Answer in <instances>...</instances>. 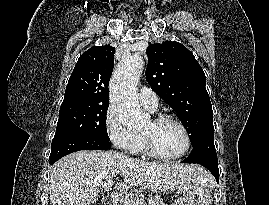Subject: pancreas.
Here are the masks:
<instances>
[{"mask_svg": "<svg viewBox=\"0 0 269 205\" xmlns=\"http://www.w3.org/2000/svg\"><path fill=\"white\" fill-rule=\"evenodd\" d=\"M128 201L131 203V205H147L144 198L140 195V192L135 189L131 190V195L128 197Z\"/></svg>", "mask_w": 269, "mask_h": 205, "instance_id": "cf45deb5", "label": "pancreas"}]
</instances>
